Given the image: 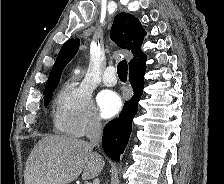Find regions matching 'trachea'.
<instances>
[{
    "label": "trachea",
    "mask_w": 224,
    "mask_h": 184,
    "mask_svg": "<svg viewBox=\"0 0 224 184\" xmlns=\"http://www.w3.org/2000/svg\"><path fill=\"white\" fill-rule=\"evenodd\" d=\"M128 65L126 60H122L117 65V73L120 79H127Z\"/></svg>",
    "instance_id": "obj_1"
}]
</instances>
